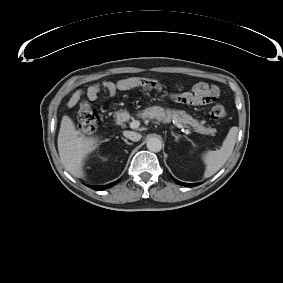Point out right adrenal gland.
I'll return each instance as SVG.
<instances>
[{"label":"right adrenal gland","mask_w":283,"mask_h":283,"mask_svg":"<svg viewBox=\"0 0 283 283\" xmlns=\"http://www.w3.org/2000/svg\"><path fill=\"white\" fill-rule=\"evenodd\" d=\"M122 140H123L126 144H128V145H132V143L128 142V140H127V139H124L123 137H122Z\"/></svg>","instance_id":"1"}]
</instances>
